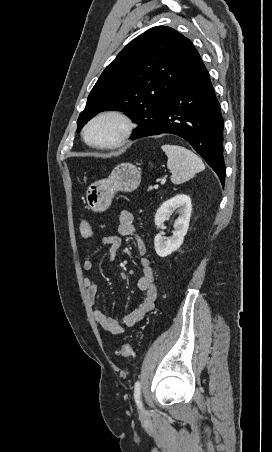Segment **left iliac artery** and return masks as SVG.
I'll list each match as a JSON object with an SVG mask.
<instances>
[{"label":"left iliac artery","instance_id":"obj_1","mask_svg":"<svg viewBox=\"0 0 272 452\" xmlns=\"http://www.w3.org/2000/svg\"><path fill=\"white\" fill-rule=\"evenodd\" d=\"M140 390H141L140 382L136 381V383L134 385V398H135L137 405L142 409V402L140 400V394H141Z\"/></svg>","mask_w":272,"mask_h":452}]
</instances>
